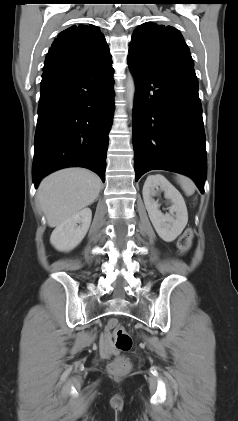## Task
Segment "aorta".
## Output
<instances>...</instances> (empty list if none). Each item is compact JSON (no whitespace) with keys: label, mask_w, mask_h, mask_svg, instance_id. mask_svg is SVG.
<instances>
[{"label":"aorta","mask_w":238,"mask_h":421,"mask_svg":"<svg viewBox=\"0 0 238 421\" xmlns=\"http://www.w3.org/2000/svg\"><path fill=\"white\" fill-rule=\"evenodd\" d=\"M135 81L133 76L130 74L126 80V100L128 104V108L132 110L134 105V96H135Z\"/></svg>","instance_id":"obj_1"}]
</instances>
